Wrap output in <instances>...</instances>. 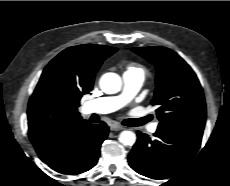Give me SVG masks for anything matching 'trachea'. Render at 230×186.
<instances>
[{
  "label": "trachea",
  "instance_id": "1",
  "mask_svg": "<svg viewBox=\"0 0 230 186\" xmlns=\"http://www.w3.org/2000/svg\"><path fill=\"white\" fill-rule=\"evenodd\" d=\"M148 121H149L148 117L139 118V119H126L123 121V125L135 127V126H141Z\"/></svg>",
  "mask_w": 230,
  "mask_h": 186
}]
</instances>
